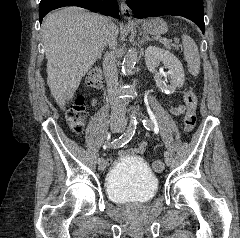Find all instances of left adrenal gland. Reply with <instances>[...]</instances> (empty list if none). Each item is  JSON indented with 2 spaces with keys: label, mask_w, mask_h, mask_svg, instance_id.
Listing matches in <instances>:
<instances>
[{
  "label": "left adrenal gland",
  "mask_w": 240,
  "mask_h": 238,
  "mask_svg": "<svg viewBox=\"0 0 240 238\" xmlns=\"http://www.w3.org/2000/svg\"><path fill=\"white\" fill-rule=\"evenodd\" d=\"M152 39L147 35V34H143V38L141 40V44H144L146 41H151Z\"/></svg>",
  "instance_id": "left-adrenal-gland-1"
}]
</instances>
